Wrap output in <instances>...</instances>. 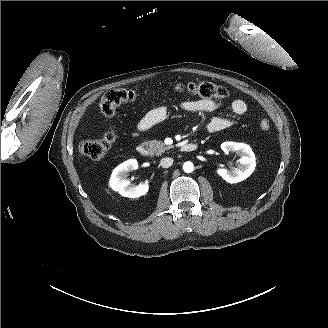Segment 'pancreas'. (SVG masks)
I'll return each instance as SVG.
<instances>
[{"label": "pancreas", "mask_w": 328, "mask_h": 328, "mask_svg": "<svg viewBox=\"0 0 328 328\" xmlns=\"http://www.w3.org/2000/svg\"><path fill=\"white\" fill-rule=\"evenodd\" d=\"M146 145L149 147L150 151L155 153L156 155H161L166 150L172 148V146H166L165 143L158 140L149 141L146 143Z\"/></svg>", "instance_id": "cf45deb5"}]
</instances>
